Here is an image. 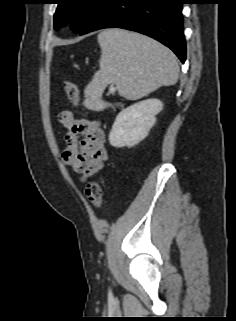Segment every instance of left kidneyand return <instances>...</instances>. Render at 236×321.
I'll return each mask as SVG.
<instances>
[{"label":"left kidney","instance_id":"1","mask_svg":"<svg viewBox=\"0 0 236 321\" xmlns=\"http://www.w3.org/2000/svg\"><path fill=\"white\" fill-rule=\"evenodd\" d=\"M162 109L160 100L146 99L122 110L112 126L110 144L117 148L138 144L147 137L156 122V115Z\"/></svg>","mask_w":236,"mask_h":321}]
</instances>
